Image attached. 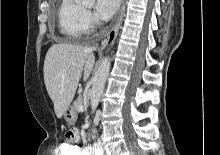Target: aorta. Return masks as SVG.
<instances>
[{
  "label": "aorta",
  "mask_w": 220,
  "mask_h": 155,
  "mask_svg": "<svg viewBox=\"0 0 220 155\" xmlns=\"http://www.w3.org/2000/svg\"><path fill=\"white\" fill-rule=\"evenodd\" d=\"M84 3H92L94 0H82ZM111 60L109 57H106L102 60L99 65L92 81V89H91V110L94 113L98 107L100 102L101 95L103 93L105 83L110 71ZM93 132H96L93 129Z\"/></svg>",
  "instance_id": "1"
}]
</instances>
